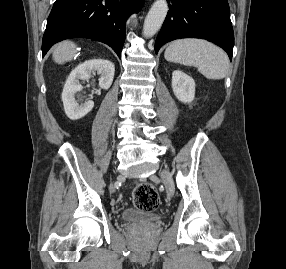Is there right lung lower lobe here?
<instances>
[{
    "instance_id": "obj_1",
    "label": "right lung lower lobe",
    "mask_w": 286,
    "mask_h": 269,
    "mask_svg": "<svg viewBox=\"0 0 286 269\" xmlns=\"http://www.w3.org/2000/svg\"><path fill=\"white\" fill-rule=\"evenodd\" d=\"M56 0L42 40L43 56L51 46L68 38H89L108 44L120 57L126 20L144 0Z\"/></svg>"
}]
</instances>
